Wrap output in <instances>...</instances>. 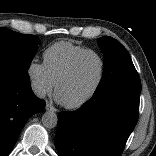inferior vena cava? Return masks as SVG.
<instances>
[{
  "label": "inferior vena cava",
  "mask_w": 156,
  "mask_h": 156,
  "mask_svg": "<svg viewBox=\"0 0 156 156\" xmlns=\"http://www.w3.org/2000/svg\"><path fill=\"white\" fill-rule=\"evenodd\" d=\"M31 86H32V90H33L34 94L37 97L44 98L46 96V89H45L44 85H42L39 82L32 81Z\"/></svg>",
  "instance_id": "1"
}]
</instances>
